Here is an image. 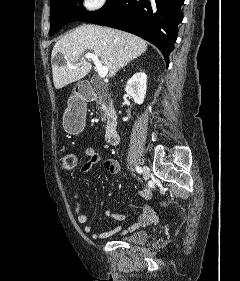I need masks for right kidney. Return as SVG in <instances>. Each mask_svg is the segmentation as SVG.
<instances>
[{
  "label": "right kidney",
  "mask_w": 240,
  "mask_h": 281,
  "mask_svg": "<svg viewBox=\"0 0 240 281\" xmlns=\"http://www.w3.org/2000/svg\"><path fill=\"white\" fill-rule=\"evenodd\" d=\"M147 89V75L144 72L135 73L126 83V93L141 105L144 102Z\"/></svg>",
  "instance_id": "obj_1"
}]
</instances>
